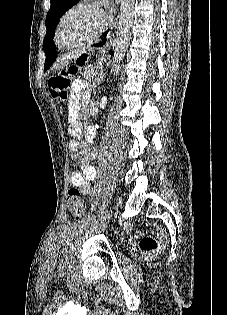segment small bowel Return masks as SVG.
Segmentation results:
<instances>
[{
    "mask_svg": "<svg viewBox=\"0 0 227 315\" xmlns=\"http://www.w3.org/2000/svg\"><path fill=\"white\" fill-rule=\"evenodd\" d=\"M90 84L83 80H76L71 88L70 109V133L71 139L69 141V150L71 159L80 167V171L72 173L70 181L73 186L79 187L81 192L89 195L92 192L91 182L96 177V169L91 164L89 158L86 157L88 147L79 146L80 125L78 120L79 99L87 101L89 99Z\"/></svg>",
    "mask_w": 227,
    "mask_h": 315,
    "instance_id": "obj_1",
    "label": "small bowel"
}]
</instances>
